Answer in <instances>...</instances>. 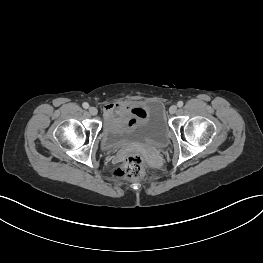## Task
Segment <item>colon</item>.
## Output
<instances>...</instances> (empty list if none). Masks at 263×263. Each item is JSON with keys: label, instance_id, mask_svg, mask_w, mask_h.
<instances>
[{"label": "colon", "instance_id": "5ec220e1", "mask_svg": "<svg viewBox=\"0 0 263 263\" xmlns=\"http://www.w3.org/2000/svg\"><path fill=\"white\" fill-rule=\"evenodd\" d=\"M145 160L140 151H132L114 171L118 177L134 180L142 176Z\"/></svg>", "mask_w": 263, "mask_h": 263}]
</instances>
